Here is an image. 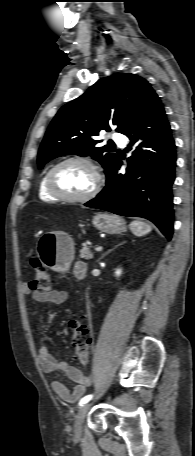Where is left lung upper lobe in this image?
I'll use <instances>...</instances> for the list:
<instances>
[{"mask_svg":"<svg viewBox=\"0 0 195 456\" xmlns=\"http://www.w3.org/2000/svg\"><path fill=\"white\" fill-rule=\"evenodd\" d=\"M157 94L148 81L130 73L97 81L82 96L63 106L52 120L38 153V166L64 155L91 156L107 175L119 157L107 145L98 147L100 130L125 134Z\"/></svg>","mask_w":195,"mask_h":456,"instance_id":"1","label":"left lung upper lobe"}]
</instances>
